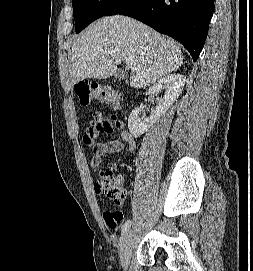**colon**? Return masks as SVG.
<instances>
[{
	"label": "colon",
	"mask_w": 253,
	"mask_h": 271,
	"mask_svg": "<svg viewBox=\"0 0 253 271\" xmlns=\"http://www.w3.org/2000/svg\"><path fill=\"white\" fill-rule=\"evenodd\" d=\"M79 102L83 106H88L92 101H99L111 106L119 104V94L107 87L95 83L80 81L75 86ZM111 168H105L101 171L100 177L95 184L96 192L103 194L115 206L114 210L106 211L104 219L111 228H116L123 220V206L125 203V190L122 183L113 178Z\"/></svg>",
	"instance_id": "1"
}]
</instances>
